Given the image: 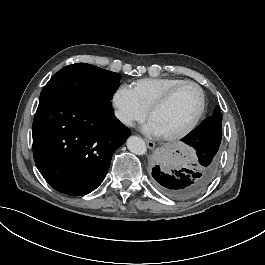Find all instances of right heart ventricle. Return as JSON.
Listing matches in <instances>:
<instances>
[{
    "instance_id": "e07e8e85",
    "label": "right heart ventricle",
    "mask_w": 265,
    "mask_h": 265,
    "mask_svg": "<svg viewBox=\"0 0 265 265\" xmlns=\"http://www.w3.org/2000/svg\"><path fill=\"white\" fill-rule=\"evenodd\" d=\"M183 80L177 77L142 78L127 86L148 111L170 88Z\"/></svg>"
}]
</instances>
